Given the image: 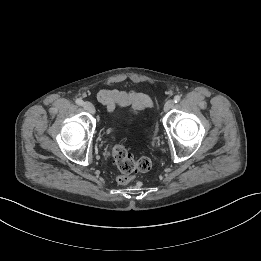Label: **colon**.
Returning a JSON list of instances; mask_svg holds the SVG:
<instances>
[{"mask_svg":"<svg viewBox=\"0 0 261 261\" xmlns=\"http://www.w3.org/2000/svg\"><path fill=\"white\" fill-rule=\"evenodd\" d=\"M113 159L120 172L117 176L119 184H127L132 179V174L147 172L152 167V162L146 157L135 159L124 147L117 145L113 148Z\"/></svg>","mask_w":261,"mask_h":261,"instance_id":"obj_1","label":"colon"}]
</instances>
